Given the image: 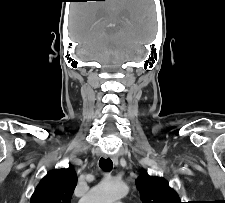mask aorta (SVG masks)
<instances>
[{
	"mask_svg": "<svg viewBox=\"0 0 225 203\" xmlns=\"http://www.w3.org/2000/svg\"><path fill=\"white\" fill-rule=\"evenodd\" d=\"M128 193V187L117 180L106 179L94 186L79 203H114Z\"/></svg>",
	"mask_w": 225,
	"mask_h": 203,
	"instance_id": "1",
	"label": "aorta"
}]
</instances>
